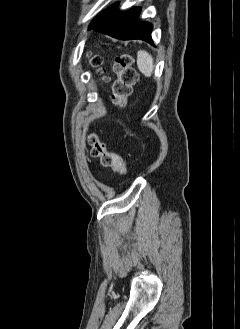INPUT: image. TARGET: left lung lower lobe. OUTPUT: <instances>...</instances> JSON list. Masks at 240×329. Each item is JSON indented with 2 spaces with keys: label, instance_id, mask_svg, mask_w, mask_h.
I'll return each mask as SVG.
<instances>
[{
  "label": "left lung lower lobe",
  "instance_id": "1",
  "mask_svg": "<svg viewBox=\"0 0 240 329\" xmlns=\"http://www.w3.org/2000/svg\"><path fill=\"white\" fill-rule=\"evenodd\" d=\"M141 9L134 7L121 12L116 7L93 29L122 40L141 39L153 43L151 38L152 24L139 22Z\"/></svg>",
  "mask_w": 240,
  "mask_h": 329
}]
</instances>
